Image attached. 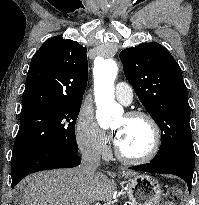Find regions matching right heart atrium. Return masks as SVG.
I'll list each match as a JSON object with an SVG mask.
<instances>
[{"label":"right heart atrium","mask_w":199,"mask_h":205,"mask_svg":"<svg viewBox=\"0 0 199 205\" xmlns=\"http://www.w3.org/2000/svg\"><path fill=\"white\" fill-rule=\"evenodd\" d=\"M75 138L80 152L85 156L100 158L108 153L107 138L90 111H80L75 127Z\"/></svg>","instance_id":"1"}]
</instances>
